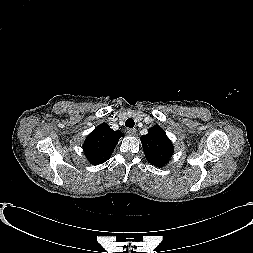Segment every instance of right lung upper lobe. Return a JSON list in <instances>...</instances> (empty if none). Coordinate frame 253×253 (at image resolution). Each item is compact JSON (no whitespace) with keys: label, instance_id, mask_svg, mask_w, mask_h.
<instances>
[{"label":"right lung upper lobe","instance_id":"obj_1","mask_svg":"<svg viewBox=\"0 0 253 253\" xmlns=\"http://www.w3.org/2000/svg\"><path fill=\"white\" fill-rule=\"evenodd\" d=\"M122 136V132L113 131L106 123L97 126L88 135L83 145V150L89 162L93 165H99L107 161Z\"/></svg>","mask_w":253,"mask_h":253}]
</instances>
